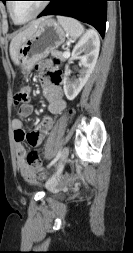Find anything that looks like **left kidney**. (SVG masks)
I'll use <instances>...</instances> for the list:
<instances>
[{
	"instance_id": "left-kidney-1",
	"label": "left kidney",
	"mask_w": 133,
	"mask_h": 253,
	"mask_svg": "<svg viewBox=\"0 0 133 253\" xmlns=\"http://www.w3.org/2000/svg\"><path fill=\"white\" fill-rule=\"evenodd\" d=\"M99 49L100 40L97 33L93 30H89L75 45L72 51L71 60L80 59L81 69L79 71L78 79L71 80L69 78V75L71 74L69 65H66L65 67L63 87L64 93L68 100H73L88 81L96 65L97 58L99 55ZM81 53H84V55L81 56Z\"/></svg>"
}]
</instances>
